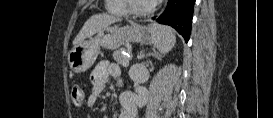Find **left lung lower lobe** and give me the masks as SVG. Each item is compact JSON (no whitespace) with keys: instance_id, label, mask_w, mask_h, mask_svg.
Returning a JSON list of instances; mask_svg holds the SVG:
<instances>
[{"instance_id":"obj_1","label":"left lung lower lobe","mask_w":273,"mask_h":118,"mask_svg":"<svg viewBox=\"0 0 273 118\" xmlns=\"http://www.w3.org/2000/svg\"><path fill=\"white\" fill-rule=\"evenodd\" d=\"M194 4L195 0H169L163 13L155 18V22L173 27L188 42Z\"/></svg>"}]
</instances>
